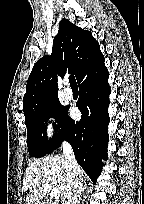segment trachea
<instances>
[{"instance_id":"3493384b","label":"trachea","mask_w":144,"mask_h":204,"mask_svg":"<svg viewBox=\"0 0 144 204\" xmlns=\"http://www.w3.org/2000/svg\"><path fill=\"white\" fill-rule=\"evenodd\" d=\"M69 83L72 88H77V82L73 74L69 76Z\"/></svg>"}]
</instances>
